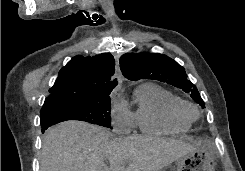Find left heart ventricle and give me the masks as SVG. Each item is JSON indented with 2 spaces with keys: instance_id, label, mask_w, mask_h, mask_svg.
Masks as SVG:
<instances>
[{
  "instance_id": "1",
  "label": "left heart ventricle",
  "mask_w": 245,
  "mask_h": 171,
  "mask_svg": "<svg viewBox=\"0 0 245 171\" xmlns=\"http://www.w3.org/2000/svg\"><path fill=\"white\" fill-rule=\"evenodd\" d=\"M188 114H189L191 117H194V116H195V113H194L192 110H189V111H188Z\"/></svg>"
}]
</instances>
